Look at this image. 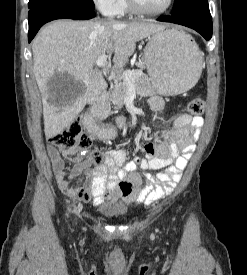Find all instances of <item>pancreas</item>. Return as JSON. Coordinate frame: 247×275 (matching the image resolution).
<instances>
[{
  "label": "pancreas",
  "mask_w": 247,
  "mask_h": 275,
  "mask_svg": "<svg viewBox=\"0 0 247 275\" xmlns=\"http://www.w3.org/2000/svg\"><path fill=\"white\" fill-rule=\"evenodd\" d=\"M132 84L135 87L136 94L140 95L141 97L149 96L154 93L150 83V79L145 74L133 78ZM128 88L129 83L126 80L120 83H116L113 86L110 100L116 108H121L125 104V98L128 92Z\"/></svg>",
  "instance_id": "1"
}]
</instances>
